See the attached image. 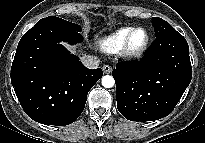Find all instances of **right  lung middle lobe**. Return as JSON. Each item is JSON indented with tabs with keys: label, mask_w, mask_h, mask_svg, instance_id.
Here are the masks:
<instances>
[{
	"label": "right lung middle lobe",
	"mask_w": 205,
	"mask_h": 143,
	"mask_svg": "<svg viewBox=\"0 0 205 143\" xmlns=\"http://www.w3.org/2000/svg\"><path fill=\"white\" fill-rule=\"evenodd\" d=\"M42 21H54V22H57L63 26H66L68 28H71L77 32L81 31V28L79 25L75 24V23H72V22H69V21H66L64 19H61L59 17H56V16H49V17H46V18H43L41 19Z\"/></svg>",
	"instance_id": "1"
}]
</instances>
